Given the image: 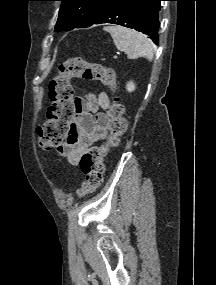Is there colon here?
Segmentation results:
<instances>
[{
  "label": "colon",
  "mask_w": 216,
  "mask_h": 285,
  "mask_svg": "<svg viewBox=\"0 0 216 285\" xmlns=\"http://www.w3.org/2000/svg\"><path fill=\"white\" fill-rule=\"evenodd\" d=\"M72 78L99 81L113 90L117 86L116 75L111 68L87 62L80 57L70 58L61 63L57 75L50 81L48 87L51 104L47 121L37 130L39 143L46 150L58 146L65 139L75 118L77 104L70 82ZM106 112L109 117L110 137L105 143L93 147L81 156L79 165L86 178L77 189L79 197L92 194L101 186L104 158L112 148L118 146L120 137L127 128L123 116L124 108L119 98L114 97Z\"/></svg>",
  "instance_id": "obj_1"
}]
</instances>
